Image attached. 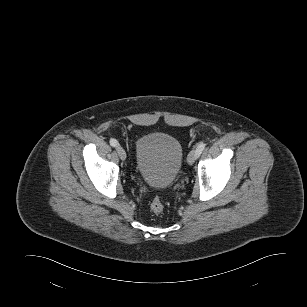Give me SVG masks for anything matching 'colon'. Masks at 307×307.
<instances>
[{
	"label": "colon",
	"instance_id": "colon-1",
	"mask_svg": "<svg viewBox=\"0 0 307 307\" xmlns=\"http://www.w3.org/2000/svg\"><path fill=\"white\" fill-rule=\"evenodd\" d=\"M150 208L152 212H154L155 214L162 213L164 209L162 200L159 197H155L151 202Z\"/></svg>",
	"mask_w": 307,
	"mask_h": 307
}]
</instances>
